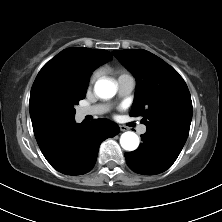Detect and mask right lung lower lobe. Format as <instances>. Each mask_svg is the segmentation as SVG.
Returning <instances> with one entry per match:
<instances>
[{"mask_svg":"<svg viewBox=\"0 0 222 222\" xmlns=\"http://www.w3.org/2000/svg\"><path fill=\"white\" fill-rule=\"evenodd\" d=\"M119 130L116 123L107 119L77 124L73 118L59 122L38 145L57 171L82 175L94 167L102 141L114 137Z\"/></svg>","mask_w":222,"mask_h":222,"instance_id":"obj_1","label":"right lung lower lobe"}]
</instances>
